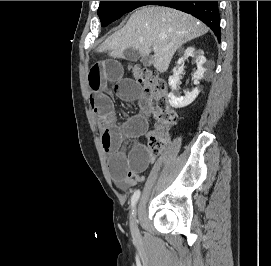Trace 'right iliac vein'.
<instances>
[{
  "label": "right iliac vein",
  "instance_id": "63e3f726",
  "mask_svg": "<svg viewBox=\"0 0 271 266\" xmlns=\"http://www.w3.org/2000/svg\"><path fill=\"white\" fill-rule=\"evenodd\" d=\"M136 214H137V207L134 208V211H133V217H132V233L135 237H137V227H136V222H135V219H136Z\"/></svg>",
  "mask_w": 271,
  "mask_h": 266
}]
</instances>
